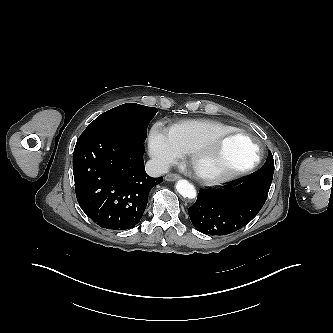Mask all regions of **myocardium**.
Returning a JSON list of instances; mask_svg holds the SVG:
<instances>
[{"mask_svg": "<svg viewBox=\"0 0 333 333\" xmlns=\"http://www.w3.org/2000/svg\"><path fill=\"white\" fill-rule=\"evenodd\" d=\"M234 136H242L253 144L256 153L254 158L246 165L229 168L219 172H203L199 169V162L212 155L219 145L227 138ZM261 160V146L256 139H254L250 134L242 129H232L227 132L218 134L205 142L204 144L198 146L190 152V165L194 175L203 183L207 185H217L228 182L240 175H243L253 168H255Z\"/></svg>", "mask_w": 333, "mask_h": 333, "instance_id": "f54148a6", "label": "myocardium"}]
</instances>
